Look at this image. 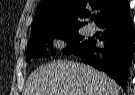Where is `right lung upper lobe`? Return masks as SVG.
<instances>
[{
    "label": "right lung upper lobe",
    "instance_id": "obj_1",
    "mask_svg": "<svg viewBox=\"0 0 135 95\" xmlns=\"http://www.w3.org/2000/svg\"><path fill=\"white\" fill-rule=\"evenodd\" d=\"M88 10L99 11L98 26L129 14L126 0H42L33 23L32 33L43 31H75L82 25L79 18L89 17ZM31 33V34H32Z\"/></svg>",
    "mask_w": 135,
    "mask_h": 95
}]
</instances>
